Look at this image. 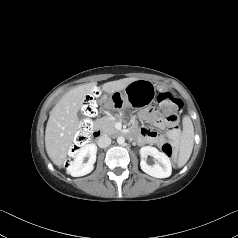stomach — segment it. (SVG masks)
<instances>
[{
	"label": "stomach",
	"mask_w": 238,
	"mask_h": 238,
	"mask_svg": "<svg viewBox=\"0 0 238 238\" xmlns=\"http://www.w3.org/2000/svg\"><path fill=\"white\" fill-rule=\"evenodd\" d=\"M104 103V108L130 110L133 107H148L155 99V85L146 79H136L123 90H118L112 94Z\"/></svg>",
	"instance_id": "1"
}]
</instances>
